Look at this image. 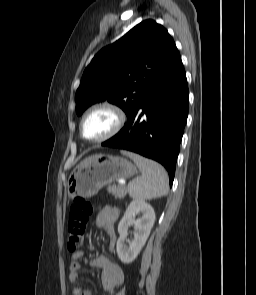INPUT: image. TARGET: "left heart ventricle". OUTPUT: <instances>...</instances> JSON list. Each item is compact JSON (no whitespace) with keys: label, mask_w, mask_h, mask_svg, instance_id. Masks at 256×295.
<instances>
[{"label":"left heart ventricle","mask_w":256,"mask_h":295,"mask_svg":"<svg viewBox=\"0 0 256 295\" xmlns=\"http://www.w3.org/2000/svg\"><path fill=\"white\" fill-rule=\"evenodd\" d=\"M114 124V116L105 109L91 113L85 120L83 132L86 138H99L110 131Z\"/></svg>","instance_id":"b2bd125f"}]
</instances>
